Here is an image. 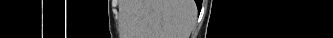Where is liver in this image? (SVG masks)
Wrapping results in <instances>:
<instances>
[{"mask_svg": "<svg viewBox=\"0 0 333 38\" xmlns=\"http://www.w3.org/2000/svg\"><path fill=\"white\" fill-rule=\"evenodd\" d=\"M137 38H189L193 0H137Z\"/></svg>", "mask_w": 333, "mask_h": 38, "instance_id": "obj_1", "label": "liver"}]
</instances>
